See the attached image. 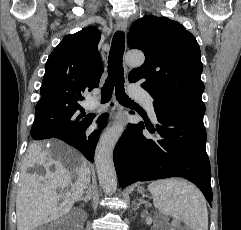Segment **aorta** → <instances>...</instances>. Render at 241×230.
I'll return each instance as SVG.
<instances>
[{
    "label": "aorta",
    "mask_w": 241,
    "mask_h": 230,
    "mask_svg": "<svg viewBox=\"0 0 241 230\" xmlns=\"http://www.w3.org/2000/svg\"><path fill=\"white\" fill-rule=\"evenodd\" d=\"M125 60L128 65L139 67L144 63L142 52H128ZM123 126L109 129L100 139L95 153V164L100 186L104 193L112 195L117 189V175L113 163V150L123 132Z\"/></svg>",
    "instance_id": "obj_1"
}]
</instances>
